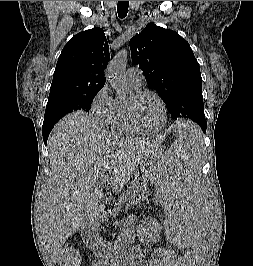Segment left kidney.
Masks as SVG:
<instances>
[{
	"mask_svg": "<svg viewBox=\"0 0 253 266\" xmlns=\"http://www.w3.org/2000/svg\"><path fill=\"white\" fill-rule=\"evenodd\" d=\"M161 225L152 218L143 220L139 226V236L146 244H154L160 239Z\"/></svg>",
	"mask_w": 253,
	"mask_h": 266,
	"instance_id": "1",
	"label": "left kidney"
}]
</instances>
